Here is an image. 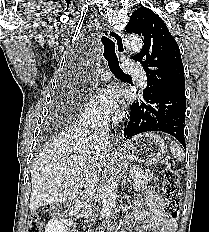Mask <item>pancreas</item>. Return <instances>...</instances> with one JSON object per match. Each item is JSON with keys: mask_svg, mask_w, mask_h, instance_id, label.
Returning <instances> with one entry per match:
<instances>
[{"mask_svg": "<svg viewBox=\"0 0 209 232\" xmlns=\"http://www.w3.org/2000/svg\"><path fill=\"white\" fill-rule=\"evenodd\" d=\"M131 170L136 172V174L131 177V183L135 190L146 189L149 183H152L153 180H158L149 170H143L138 166L132 167Z\"/></svg>", "mask_w": 209, "mask_h": 232, "instance_id": "cf45deb5", "label": "pancreas"}]
</instances>
